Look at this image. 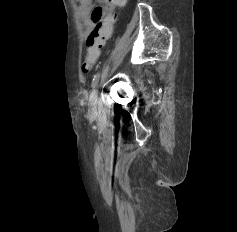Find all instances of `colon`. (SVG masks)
<instances>
[{"label": "colon", "instance_id": "obj_1", "mask_svg": "<svg viewBox=\"0 0 237 232\" xmlns=\"http://www.w3.org/2000/svg\"><path fill=\"white\" fill-rule=\"evenodd\" d=\"M113 8L108 12L105 19L98 23L86 39L87 54L82 64V71L89 72L96 63L102 48L112 33L117 19V10L124 7L127 0H113Z\"/></svg>", "mask_w": 237, "mask_h": 232}]
</instances>
